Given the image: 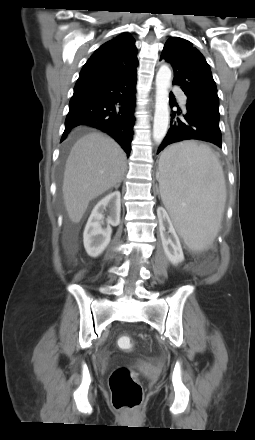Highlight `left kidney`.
I'll return each mask as SVG.
<instances>
[{
  "label": "left kidney",
  "instance_id": "left-kidney-1",
  "mask_svg": "<svg viewBox=\"0 0 255 440\" xmlns=\"http://www.w3.org/2000/svg\"><path fill=\"white\" fill-rule=\"evenodd\" d=\"M158 217L160 218V235L164 252L168 260L177 265L184 261V255L182 247L179 241V237L173 227V224L163 207H159L157 210Z\"/></svg>",
  "mask_w": 255,
  "mask_h": 440
}]
</instances>
